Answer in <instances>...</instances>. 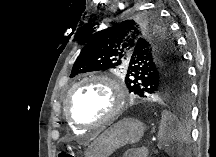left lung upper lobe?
I'll use <instances>...</instances> for the list:
<instances>
[{
  "label": "left lung upper lobe",
  "mask_w": 216,
  "mask_h": 157,
  "mask_svg": "<svg viewBox=\"0 0 216 157\" xmlns=\"http://www.w3.org/2000/svg\"><path fill=\"white\" fill-rule=\"evenodd\" d=\"M107 29L87 35L70 77L79 73L126 69L129 92L140 97L187 98L188 74L168 23L157 10H140Z\"/></svg>",
  "instance_id": "1"
}]
</instances>
